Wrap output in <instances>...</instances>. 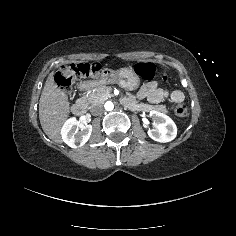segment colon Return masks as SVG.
I'll return each mask as SVG.
<instances>
[{
	"label": "colon",
	"instance_id": "colon-1",
	"mask_svg": "<svg viewBox=\"0 0 236 236\" xmlns=\"http://www.w3.org/2000/svg\"><path fill=\"white\" fill-rule=\"evenodd\" d=\"M99 64H70L62 66L55 75V81L64 91L70 92L73 85L81 76L95 77L100 72ZM136 73L146 80H152L157 76L162 79H167V75L163 72H158L155 64L151 62H141L135 67ZM188 107L186 104H179L176 107V114L180 117L187 115Z\"/></svg>",
	"mask_w": 236,
	"mask_h": 236
}]
</instances>
